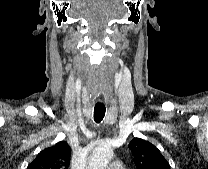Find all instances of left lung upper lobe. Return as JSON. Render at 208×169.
<instances>
[{"label":"left lung upper lobe","instance_id":"5c2ea615","mask_svg":"<svg viewBox=\"0 0 208 169\" xmlns=\"http://www.w3.org/2000/svg\"><path fill=\"white\" fill-rule=\"evenodd\" d=\"M134 155L137 169H170L159 149L141 138H133L128 145Z\"/></svg>","mask_w":208,"mask_h":169}]
</instances>
